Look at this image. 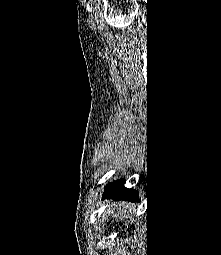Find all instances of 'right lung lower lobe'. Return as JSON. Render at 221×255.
<instances>
[{
  "label": "right lung lower lobe",
  "mask_w": 221,
  "mask_h": 255,
  "mask_svg": "<svg viewBox=\"0 0 221 255\" xmlns=\"http://www.w3.org/2000/svg\"><path fill=\"white\" fill-rule=\"evenodd\" d=\"M104 198L116 197V199L139 201V193L136 190L124 187V180H118L105 187Z\"/></svg>",
  "instance_id": "1"
}]
</instances>
